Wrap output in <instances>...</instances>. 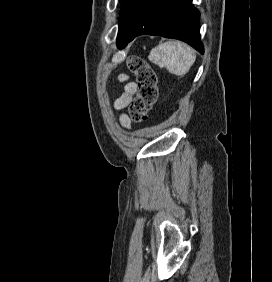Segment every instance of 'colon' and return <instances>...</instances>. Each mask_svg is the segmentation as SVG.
I'll list each match as a JSON object with an SVG mask.
<instances>
[{"label":"colon","mask_w":272,"mask_h":282,"mask_svg":"<svg viewBox=\"0 0 272 282\" xmlns=\"http://www.w3.org/2000/svg\"><path fill=\"white\" fill-rule=\"evenodd\" d=\"M128 68L135 74L137 84L136 95L129 108L130 118L135 122H143L149 118L157 100L158 76L144 59L137 56L130 58Z\"/></svg>","instance_id":"1"}]
</instances>
